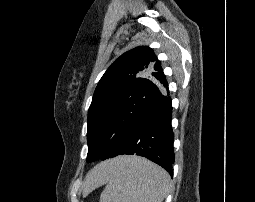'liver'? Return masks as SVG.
Wrapping results in <instances>:
<instances>
[{
    "mask_svg": "<svg viewBox=\"0 0 255 202\" xmlns=\"http://www.w3.org/2000/svg\"><path fill=\"white\" fill-rule=\"evenodd\" d=\"M119 159H121V157H117L115 159L112 160H108L105 161L103 163H101L100 165L96 166L86 177L85 180V188L86 190H90L96 186H98V183L100 182V172H101V167H103L104 165H107L109 163H115L117 162Z\"/></svg>",
    "mask_w": 255,
    "mask_h": 202,
    "instance_id": "6515ba94",
    "label": "liver"
}]
</instances>
